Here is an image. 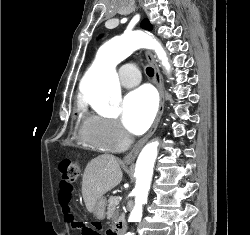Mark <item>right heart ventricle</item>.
I'll return each instance as SVG.
<instances>
[{"label": "right heart ventricle", "mask_w": 250, "mask_h": 235, "mask_svg": "<svg viewBox=\"0 0 250 235\" xmlns=\"http://www.w3.org/2000/svg\"><path fill=\"white\" fill-rule=\"evenodd\" d=\"M79 139L80 141L85 144L86 146H89L91 148L102 150V151H109L103 147H101L98 143L94 141V139L90 135V117L84 109V105L82 103L79 104Z\"/></svg>", "instance_id": "right-heart-ventricle-1"}]
</instances>
